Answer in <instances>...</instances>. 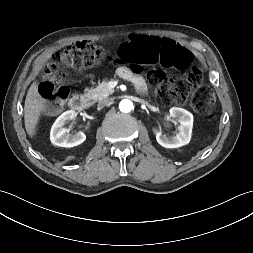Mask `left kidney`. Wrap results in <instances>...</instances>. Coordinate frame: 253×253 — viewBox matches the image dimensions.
<instances>
[{
	"label": "left kidney",
	"instance_id": "5707ae66",
	"mask_svg": "<svg viewBox=\"0 0 253 253\" xmlns=\"http://www.w3.org/2000/svg\"><path fill=\"white\" fill-rule=\"evenodd\" d=\"M169 112L180 123L178 127L179 132L175 136H167L162 134L160 130L154 128L153 132L156 135L157 142L165 148H178L187 145L191 139L193 115L179 107H172Z\"/></svg>",
	"mask_w": 253,
	"mask_h": 253
}]
</instances>
